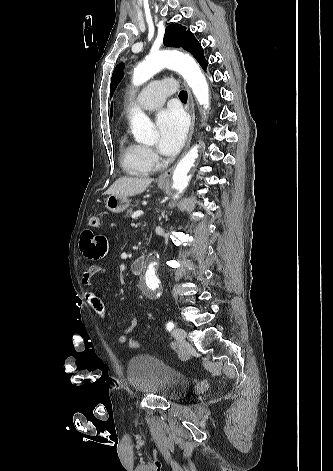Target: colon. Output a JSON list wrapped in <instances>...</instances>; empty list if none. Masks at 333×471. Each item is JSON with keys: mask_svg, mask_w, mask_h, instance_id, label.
I'll use <instances>...</instances> for the list:
<instances>
[{"mask_svg": "<svg viewBox=\"0 0 333 471\" xmlns=\"http://www.w3.org/2000/svg\"><path fill=\"white\" fill-rule=\"evenodd\" d=\"M99 223H100V218L98 215H93L90 217L89 219V226L92 227V228H97L99 226ZM127 346L130 348V349H138L140 347V343L137 341V340H128L127 342Z\"/></svg>", "mask_w": 333, "mask_h": 471, "instance_id": "1", "label": "colon"}]
</instances>
